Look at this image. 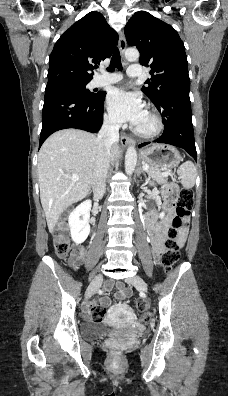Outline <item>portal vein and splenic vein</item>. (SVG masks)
I'll use <instances>...</instances> for the list:
<instances>
[{"label": "portal vein and splenic vein", "instance_id": "portal-vein-and-splenic-vein-1", "mask_svg": "<svg viewBox=\"0 0 228 396\" xmlns=\"http://www.w3.org/2000/svg\"><path fill=\"white\" fill-rule=\"evenodd\" d=\"M142 168H143L144 170H148L149 166H148V165H143ZM163 175H165V176L168 175V171L163 172ZM70 178L72 179V181H77V180H79V176H78V175L70 176Z\"/></svg>", "mask_w": 228, "mask_h": 396}]
</instances>
